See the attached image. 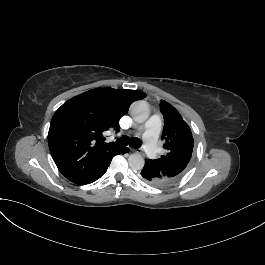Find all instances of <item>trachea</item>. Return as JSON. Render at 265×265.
<instances>
[{
    "instance_id": "3493384b",
    "label": "trachea",
    "mask_w": 265,
    "mask_h": 265,
    "mask_svg": "<svg viewBox=\"0 0 265 265\" xmlns=\"http://www.w3.org/2000/svg\"><path fill=\"white\" fill-rule=\"evenodd\" d=\"M116 143L120 146H126L129 144L133 148H140L141 147V141L136 137H134L130 140L127 136H123V137L117 139Z\"/></svg>"
}]
</instances>
